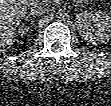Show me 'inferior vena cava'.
<instances>
[{
	"instance_id": "obj_1",
	"label": "inferior vena cava",
	"mask_w": 111,
	"mask_h": 106,
	"mask_svg": "<svg viewBox=\"0 0 111 106\" xmlns=\"http://www.w3.org/2000/svg\"><path fill=\"white\" fill-rule=\"evenodd\" d=\"M31 6V13L36 14V15H41L43 13H46L48 9L46 8L47 2L46 1H32L30 3Z\"/></svg>"
}]
</instances>
